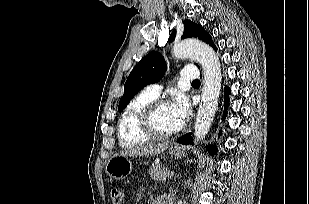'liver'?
Instances as JSON below:
<instances>
[{
	"label": "liver",
	"instance_id": "1",
	"mask_svg": "<svg viewBox=\"0 0 309 204\" xmlns=\"http://www.w3.org/2000/svg\"><path fill=\"white\" fill-rule=\"evenodd\" d=\"M168 147V142L165 143H159V144H150L146 146H139L135 148H129L124 151H122L121 155L126 156H136V157H149V156H155L158 154L163 153Z\"/></svg>",
	"mask_w": 309,
	"mask_h": 204
}]
</instances>
